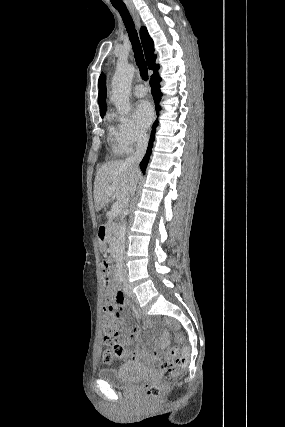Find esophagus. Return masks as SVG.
I'll list each match as a JSON object with an SVG mask.
<instances>
[{"instance_id": "34e87169", "label": "esophagus", "mask_w": 285, "mask_h": 427, "mask_svg": "<svg viewBox=\"0 0 285 427\" xmlns=\"http://www.w3.org/2000/svg\"><path fill=\"white\" fill-rule=\"evenodd\" d=\"M129 11L135 21V24L138 28H140L141 26V20H140V16L138 14V11L134 8V6H129Z\"/></svg>"}]
</instances>
